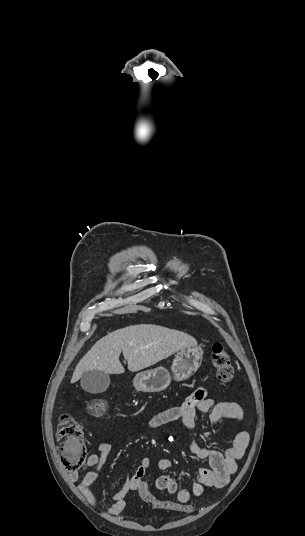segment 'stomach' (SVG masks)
<instances>
[{
    "mask_svg": "<svg viewBox=\"0 0 305 536\" xmlns=\"http://www.w3.org/2000/svg\"><path fill=\"white\" fill-rule=\"evenodd\" d=\"M203 360V352L200 346L184 348L175 356L172 364V374L176 382H183L191 378ZM171 382V376L165 368H155L140 372L133 380V386L139 392H162L166 390Z\"/></svg>",
    "mask_w": 305,
    "mask_h": 536,
    "instance_id": "1",
    "label": "stomach"
}]
</instances>
